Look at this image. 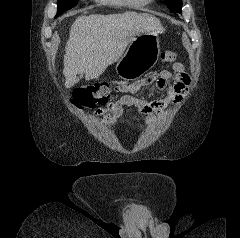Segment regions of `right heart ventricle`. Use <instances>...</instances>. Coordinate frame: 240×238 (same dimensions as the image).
Segmentation results:
<instances>
[{"mask_svg": "<svg viewBox=\"0 0 240 238\" xmlns=\"http://www.w3.org/2000/svg\"><path fill=\"white\" fill-rule=\"evenodd\" d=\"M102 4L116 7V8H124V7H140L146 5L144 0H134V4L130 5L125 0H96Z\"/></svg>", "mask_w": 240, "mask_h": 238, "instance_id": "right-heart-ventricle-1", "label": "right heart ventricle"}]
</instances>
